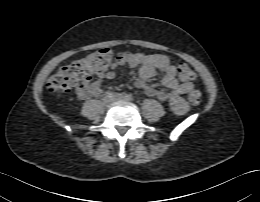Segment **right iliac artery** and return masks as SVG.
I'll list each match as a JSON object with an SVG mask.
<instances>
[{"instance_id":"right-iliac-artery-1","label":"right iliac artery","mask_w":260,"mask_h":202,"mask_svg":"<svg viewBox=\"0 0 260 202\" xmlns=\"http://www.w3.org/2000/svg\"><path fill=\"white\" fill-rule=\"evenodd\" d=\"M106 96H109V97H113V92H111V91H108V92H106V94H105Z\"/></svg>"}]
</instances>
